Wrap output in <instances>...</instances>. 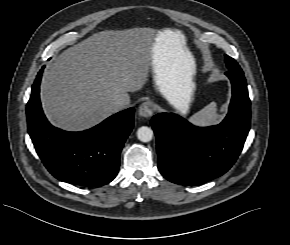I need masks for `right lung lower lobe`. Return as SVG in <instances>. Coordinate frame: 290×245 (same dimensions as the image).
Returning a JSON list of instances; mask_svg holds the SVG:
<instances>
[{
    "mask_svg": "<svg viewBox=\"0 0 290 245\" xmlns=\"http://www.w3.org/2000/svg\"><path fill=\"white\" fill-rule=\"evenodd\" d=\"M44 67L32 86L27 103L28 132L43 164L57 179L83 186H102L117 175L120 152L133 128L134 108L116 113L82 132L52 126L40 103Z\"/></svg>",
    "mask_w": 290,
    "mask_h": 245,
    "instance_id": "obj_1",
    "label": "right lung lower lobe"
}]
</instances>
